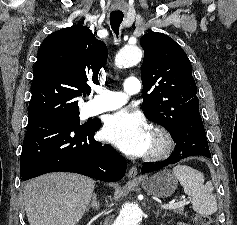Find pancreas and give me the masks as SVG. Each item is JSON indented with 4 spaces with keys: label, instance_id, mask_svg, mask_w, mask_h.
<instances>
[{
    "label": "pancreas",
    "instance_id": "pancreas-1",
    "mask_svg": "<svg viewBox=\"0 0 237 225\" xmlns=\"http://www.w3.org/2000/svg\"><path fill=\"white\" fill-rule=\"evenodd\" d=\"M175 213H179V214H184V208L183 207H180L178 209H175L174 210Z\"/></svg>",
    "mask_w": 237,
    "mask_h": 225
}]
</instances>
